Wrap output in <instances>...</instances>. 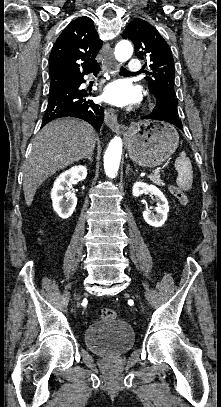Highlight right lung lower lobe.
<instances>
[{
    "label": "right lung lower lobe",
    "mask_w": 221,
    "mask_h": 407,
    "mask_svg": "<svg viewBox=\"0 0 221 407\" xmlns=\"http://www.w3.org/2000/svg\"><path fill=\"white\" fill-rule=\"evenodd\" d=\"M99 71L100 67L92 72L97 75ZM83 76L50 89L42 126L54 119L71 116L83 119L96 130H100L104 120L103 107L87 99L91 92L87 93L85 90L79 89L80 85L86 82Z\"/></svg>",
    "instance_id": "1"
}]
</instances>
